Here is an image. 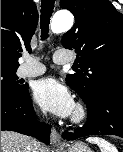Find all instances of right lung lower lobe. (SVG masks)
Listing matches in <instances>:
<instances>
[{"instance_id":"98d812e1","label":"right lung lower lobe","mask_w":123,"mask_h":152,"mask_svg":"<svg viewBox=\"0 0 123 152\" xmlns=\"http://www.w3.org/2000/svg\"><path fill=\"white\" fill-rule=\"evenodd\" d=\"M1 130L34 136L49 144L50 126L37 121L28 87L20 93L1 94Z\"/></svg>"}]
</instances>
